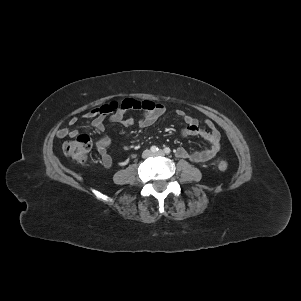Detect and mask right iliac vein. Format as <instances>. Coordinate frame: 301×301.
I'll list each match as a JSON object with an SVG mask.
<instances>
[{"label": "right iliac vein", "instance_id": "obj_1", "mask_svg": "<svg viewBox=\"0 0 301 301\" xmlns=\"http://www.w3.org/2000/svg\"><path fill=\"white\" fill-rule=\"evenodd\" d=\"M152 155V153H151V151H149V150H146V151H144V153H143V157L144 158H147V157H149V156H151Z\"/></svg>", "mask_w": 301, "mask_h": 301}]
</instances>
